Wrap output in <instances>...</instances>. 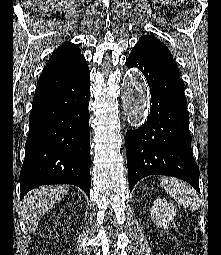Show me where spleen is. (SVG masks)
Returning <instances> with one entry per match:
<instances>
[{
  "label": "spleen",
  "mask_w": 221,
  "mask_h": 255,
  "mask_svg": "<svg viewBox=\"0 0 221 255\" xmlns=\"http://www.w3.org/2000/svg\"><path fill=\"white\" fill-rule=\"evenodd\" d=\"M161 186L179 204L191 211H196L200 207L197 193L186 183L172 177H162Z\"/></svg>",
  "instance_id": "3e777b00"
}]
</instances>
